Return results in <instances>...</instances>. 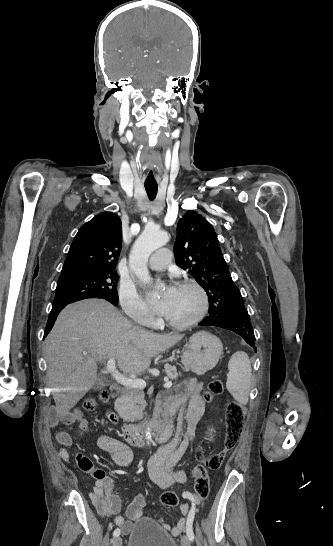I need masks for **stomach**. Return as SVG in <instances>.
Here are the masks:
<instances>
[{
	"label": "stomach",
	"instance_id": "stomach-1",
	"mask_svg": "<svg viewBox=\"0 0 333 546\" xmlns=\"http://www.w3.org/2000/svg\"><path fill=\"white\" fill-rule=\"evenodd\" d=\"M223 351L222 342L215 335L200 331L189 338L181 356L186 370L198 375L212 370L218 363Z\"/></svg>",
	"mask_w": 333,
	"mask_h": 546
}]
</instances>
